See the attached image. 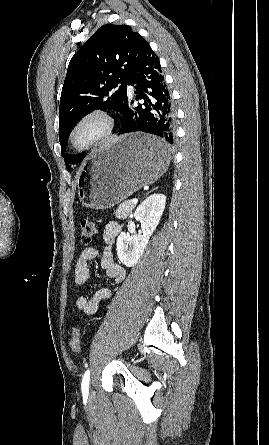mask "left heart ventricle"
I'll return each mask as SVG.
<instances>
[{
    "mask_svg": "<svg viewBox=\"0 0 269 445\" xmlns=\"http://www.w3.org/2000/svg\"><path fill=\"white\" fill-rule=\"evenodd\" d=\"M96 129H97V126L94 125V124H91V125L87 126V127L83 130V132H82V134H81V138H82V139L87 138L88 136H90L91 134H93V133L96 131Z\"/></svg>",
    "mask_w": 269,
    "mask_h": 445,
    "instance_id": "1",
    "label": "left heart ventricle"
}]
</instances>
